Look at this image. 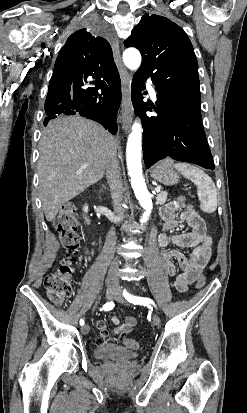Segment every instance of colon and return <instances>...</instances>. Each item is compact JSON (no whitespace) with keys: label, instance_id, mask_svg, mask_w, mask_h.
I'll return each mask as SVG.
<instances>
[{"label":"colon","instance_id":"colon-1","mask_svg":"<svg viewBox=\"0 0 247 413\" xmlns=\"http://www.w3.org/2000/svg\"><path fill=\"white\" fill-rule=\"evenodd\" d=\"M187 201L186 195H179L175 203L177 207H184ZM76 221V207L71 203L66 204L54 220L55 230L65 251L64 260L62 264L55 267L52 272L45 276L43 285L55 305L65 304L73 296L71 285L72 265L77 256L80 241V235L75 227ZM205 282L204 274L201 277H197L198 289H201ZM123 342L129 349L137 350L139 348V343L134 339L128 338V340H123ZM119 378L124 380L126 375L121 373Z\"/></svg>","mask_w":247,"mask_h":413}]
</instances>
